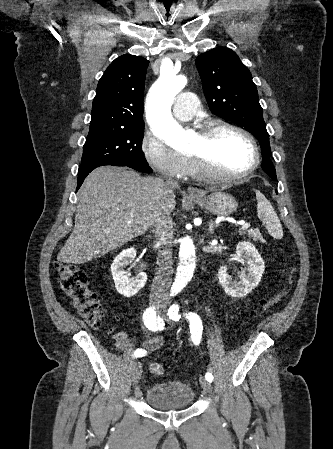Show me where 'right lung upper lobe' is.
I'll list each match as a JSON object with an SVG mask.
<instances>
[{"label":"right lung upper lobe","mask_w":333,"mask_h":449,"mask_svg":"<svg viewBox=\"0 0 333 449\" xmlns=\"http://www.w3.org/2000/svg\"><path fill=\"white\" fill-rule=\"evenodd\" d=\"M149 61L135 55L115 59L99 80L90 129L143 124V93Z\"/></svg>","instance_id":"1"}]
</instances>
